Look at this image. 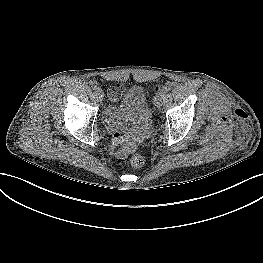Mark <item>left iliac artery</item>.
I'll list each match as a JSON object with an SVG mask.
<instances>
[{"label": "left iliac artery", "mask_w": 263, "mask_h": 263, "mask_svg": "<svg viewBox=\"0 0 263 263\" xmlns=\"http://www.w3.org/2000/svg\"><path fill=\"white\" fill-rule=\"evenodd\" d=\"M166 95V92L164 90L159 91V96L164 97Z\"/></svg>", "instance_id": "left-iliac-artery-1"}]
</instances>
